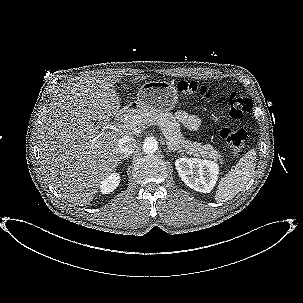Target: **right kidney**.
Segmentation results:
<instances>
[{"mask_svg":"<svg viewBox=\"0 0 303 303\" xmlns=\"http://www.w3.org/2000/svg\"><path fill=\"white\" fill-rule=\"evenodd\" d=\"M120 183V176L118 173H112L106 177L100 184V192L102 194H109L114 191Z\"/></svg>","mask_w":303,"mask_h":303,"instance_id":"ca27d5eb","label":"right kidney"}]
</instances>
